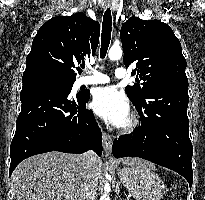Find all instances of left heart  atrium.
Instances as JSON below:
<instances>
[{
	"instance_id": "obj_1",
	"label": "left heart atrium",
	"mask_w": 205,
	"mask_h": 200,
	"mask_svg": "<svg viewBox=\"0 0 205 200\" xmlns=\"http://www.w3.org/2000/svg\"><path fill=\"white\" fill-rule=\"evenodd\" d=\"M93 111L106 122L120 127L129 117V104L115 87L98 88L91 101Z\"/></svg>"
}]
</instances>
